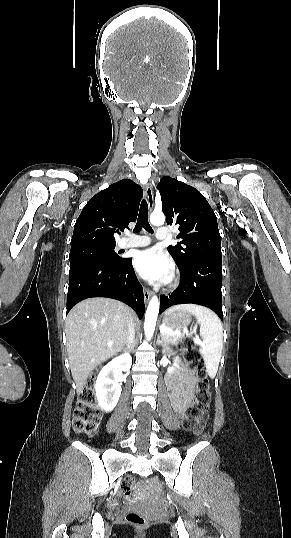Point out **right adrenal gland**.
Here are the masks:
<instances>
[{
	"mask_svg": "<svg viewBox=\"0 0 291 538\" xmlns=\"http://www.w3.org/2000/svg\"><path fill=\"white\" fill-rule=\"evenodd\" d=\"M134 346H135V340L133 341V343L131 344V346H129V347H125L124 350L132 351L133 348H134Z\"/></svg>",
	"mask_w": 291,
	"mask_h": 538,
	"instance_id": "obj_1",
	"label": "right adrenal gland"
}]
</instances>
